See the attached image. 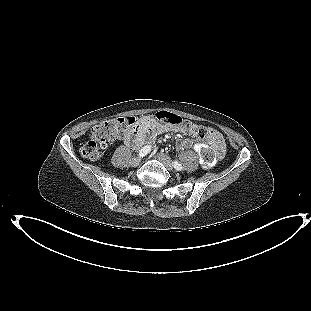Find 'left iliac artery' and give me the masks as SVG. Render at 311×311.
I'll return each instance as SVG.
<instances>
[{
	"mask_svg": "<svg viewBox=\"0 0 311 311\" xmlns=\"http://www.w3.org/2000/svg\"><path fill=\"white\" fill-rule=\"evenodd\" d=\"M173 166H174V168L176 169V170H178V171H181L182 170V165L179 163V162H177V161H174L173 162Z\"/></svg>",
	"mask_w": 311,
	"mask_h": 311,
	"instance_id": "1",
	"label": "left iliac artery"
}]
</instances>
